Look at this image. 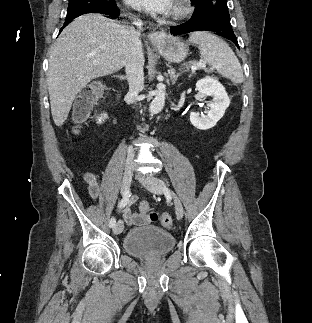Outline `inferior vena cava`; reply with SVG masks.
<instances>
[{"instance_id": "602c4592", "label": "inferior vena cava", "mask_w": 312, "mask_h": 323, "mask_svg": "<svg viewBox=\"0 0 312 323\" xmlns=\"http://www.w3.org/2000/svg\"><path fill=\"white\" fill-rule=\"evenodd\" d=\"M133 24L137 26V30L134 26H122V28H125L129 42V54L125 68L127 80L129 82V96H131L132 100H134L144 88V56L142 52V42L140 40L141 32H139L143 24L140 20H135ZM128 152H130V154L133 152L132 146H129Z\"/></svg>"}]
</instances>
